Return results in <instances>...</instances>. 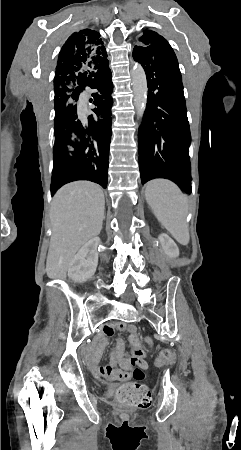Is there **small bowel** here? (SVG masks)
<instances>
[{
  "label": "small bowel",
  "instance_id": "c3829d8e",
  "mask_svg": "<svg viewBox=\"0 0 241 450\" xmlns=\"http://www.w3.org/2000/svg\"><path fill=\"white\" fill-rule=\"evenodd\" d=\"M117 330L128 333L129 349H126L123 339L117 338L110 355L109 364L98 367L97 359L101 357V352L107 345V338L112 336ZM150 343L151 339L140 336L138 328L134 324L124 322L106 324L103 327V335L96 339L89 349L94 350L89 361V368L100 380L110 382L128 381L132 378L134 369H140L141 366H144L145 369L148 367L144 345Z\"/></svg>",
  "mask_w": 241,
  "mask_h": 450
}]
</instances>
